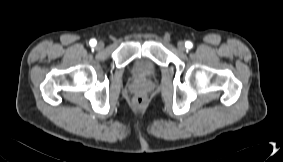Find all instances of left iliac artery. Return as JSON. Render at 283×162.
Here are the masks:
<instances>
[{
    "instance_id": "44dca946",
    "label": "left iliac artery",
    "mask_w": 283,
    "mask_h": 162,
    "mask_svg": "<svg viewBox=\"0 0 283 162\" xmlns=\"http://www.w3.org/2000/svg\"><path fill=\"white\" fill-rule=\"evenodd\" d=\"M185 46L190 49V48H192L193 44H192V42L187 41V42L185 43Z\"/></svg>"
}]
</instances>
